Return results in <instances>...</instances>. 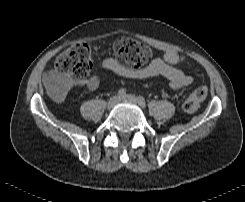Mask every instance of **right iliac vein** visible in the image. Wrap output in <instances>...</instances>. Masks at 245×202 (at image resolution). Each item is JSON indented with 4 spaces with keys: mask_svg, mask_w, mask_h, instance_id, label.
I'll use <instances>...</instances> for the list:
<instances>
[{
    "mask_svg": "<svg viewBox=\"0 0 245 202\" xmlns=\"http://www.w3.org/2000/svg\"><path fill=\"white\" fill-rule=\"evenodd\" d=\"M119 101H120L119 96H113L112 98L109 99L107 108L112 109L116 104H118Z\"/></svg>",
    "mask_w": 245,
    "mask_h": 202,
    "instance_id": "obj_1",
    "label": "right iliac vein"
}]
</instances>
